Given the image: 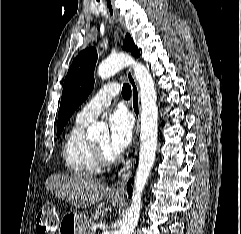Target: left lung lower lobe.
<instances>
[{"label":"left lung lower lobe","instance_id":"0a47b994","mask_svg":"<svg viewBox=\"0 0 241 234\" xmlns=\"http://www.w3.org/2000/svg\"><path fill=\"white\" fill-rule=\"evenodd\" d=\"M131 181L133 182V179H131ZM131 181H129L128 184H127L129 196H131V192H132V189H131Z\"/></svg>","mask_w":241,"mask_h":234}]
</instances>
